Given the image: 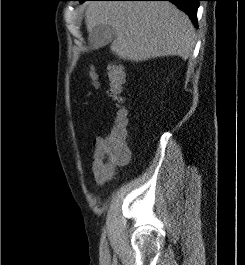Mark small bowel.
Instances as JSON below:
<instances>
[{
	"mask_svg": "<svg viewBox=\"0 0 245 265\" xmlns=\"http://www.w3.org/2000/svg\"><path fill=\"white\" fill-rule=\"evenodd\" d=\"M102 141H103L102 137H98V138L95 139V141H94V151L96 150L97 147H99L101 145ZM93 172H94L95 179H96V181L99 184L105 183L108 180L109 176H110L106 172L97 169L94 166V164H93Z\"/></svg>",
	"mask_w": 245,
	"mask_h": 265,
	"instance_id": "small-bowel-1",
	"label": "small bowel"
}]
</instances>
